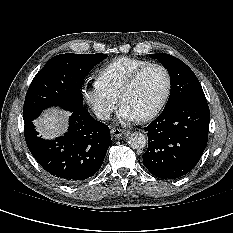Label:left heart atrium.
Returning a JSON list of instances; mask_svg holds the SVG:
<instances>
[{
  "label": "left heart atrium",
  "mask_w": 233,
  "mask_h": 233,
  "mask_svg": "<svg viewBox=\"0 0 233 233\" xmlns=\"http://www.w3.org/2000/svg\"><path fill=\"white\" fill-rule=\"evenodd\" d=\"M119 118L122 122L131 123L139 120V117L128 107L122 106L119 111Z\"/></svg>",
  "instance_id": "obj_1"
}]
</instances>
